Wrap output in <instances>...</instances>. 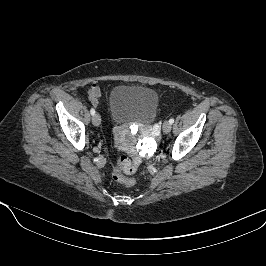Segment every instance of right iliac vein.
Returning a JSON list of instances; mask_svg holds the SVG:
<instances>
[{"label":"right iliac vein","instance_id":"right-iliac-vein-1","mask_svg":"<svg viewBox=\"0 0 266 266\" xmlns=\"http://www.w3.org/2000/svg\"><path fill=\"white\" fill-rule=\"evenodd\" d=\"M92 123L94 126H99L101 123V117L99 114H94L92 117Z\"/></svg>","mask_w":266,"mask_h":266}]
</instances>
